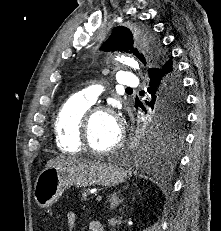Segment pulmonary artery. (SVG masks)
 I'll use <instances>...</instances> for the list:
<instances>
[{
    "label": "pulmonary artery",
    "mask_w": 221,
    "mask_h": 231,
    "mask_svg": "<svg viewBox=\"0 0 221 231\" xmlns=\"http://www.w3.org/2000/svg\"><path fill=\"white\" fill-rule=\"evenodd\" d=\"M117 83L120 87L131 88L138 85V80L130 72H120L117 74ZM101 94V88L98 85H92L78 92L76 96L89 104H94Z\"/></svg>",
    "instance_id": "1"
}]
</instances>
